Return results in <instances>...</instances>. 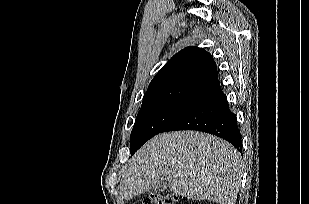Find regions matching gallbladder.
<instances>
[{
  "label": "gallbladder",
  "instance_id": "1",
  "mask_svg": "<svg viewBox=\"0 0 309 204\" xmlns=\"http://www.w3.org/2000/svg\"><path fill=\"white\" fill-rule=\"evenodd\" d=\"M170 186V182L164 177L160 176L155 178L149 188V192L152 194H160Z\"/></svg>",
  "mask_w": 309,
  "mask_h": 204
}]
</instances>
